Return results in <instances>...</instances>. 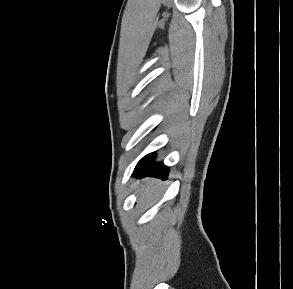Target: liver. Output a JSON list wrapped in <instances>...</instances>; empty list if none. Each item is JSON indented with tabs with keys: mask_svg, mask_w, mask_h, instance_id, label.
I'll return each mask as SVG.
<instances>
[{
	"mask_svg": "<svg viewBox=\"0 0 293 289\" xmlns=\"http://www.w3.org/2000/svg\"><path fill=\"white\" fill-rule=\"evenodd\" d=\"M162 183L159 180L145 179L140 189L139 201L141 203H152L160 195Z\"/></svg>",
	"mask_w": 293,
	"mask_h": 289,
	"instance_id": "obj_1",
	"label": "liver"
}]
</instances>
